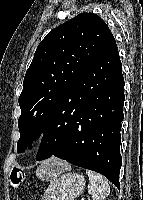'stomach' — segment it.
Here are the masks:
<instances>
[{
  "label": "stomach",
  "instance_id": "obj_1",
  "mask_svg": "<svg viewBox=\"0 0 143 200\" xmlns=\"http://www.w3.org/2000/svg\"><path fill=\"white\" fill-rule=\"evenodd\" d=\"M54 169H57L55 165ZM86 181L83 175L76 172H64L50 178V185L42 200H76L83 192Z\"/></svg>",
  "mask_w": 143,
  "mask_h": 200
}]
</instances>
